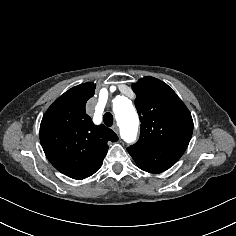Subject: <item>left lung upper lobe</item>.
<instances>
[{"mask_svg": "<svg viewBox=\"0 0 236 236\" xmlns=\"http://www.w3.org/2000/svg\"><path fill=\"white\" fill-rule=\"evenodd\" d=\"M141 121L138 142L127 148L138 167L161 173L185 152L193 133V120L185 104L164 82L151 76L132 85Z\"/></svg>", "mask_w": 236, "mask_h": 236, "instance_id": "5c2ea615", "label": "left lung upper lobe"}]
</instances>
